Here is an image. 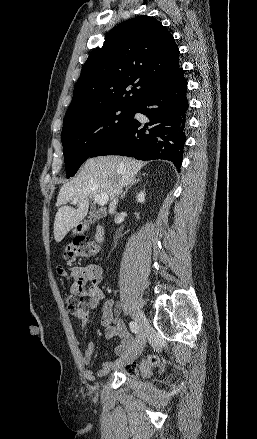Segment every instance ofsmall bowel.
Wrapping results in <instances>:
<instances>
[{"instance_id": "small-bowel-1", "label": "small bowel", "mask_w": 257, "mask_h": 439, "mask_svg": "<svg viewBox=\"0 0 257 439\" xmlns=\"http://www.w3.org/2000/svg\"><path fill=\"white\" fill-rule=\"evenodd\" d=\"M58 272L70 281V290L72 292H80L86 298L82 309L75 314L80 325L85 327L89 320L88 310L98 308L104 300V293L99 286L102 279L101 270L94 265H88L73 267L69 272L60 267ZM113 308V300H106L103 303L101 324L106 338L119 337L120 342L113 349V353L119 358L116 362L105 361L100 369L92 370L90 365L93 361L95 345L92 342L87 343L83 351V362L86 366L84 375L89 381L107 375L113 368L123 366L125 362L131 360L130 357L135 350L134 337L125 324L115 317Z\"/></svg>"}]
</instances>
